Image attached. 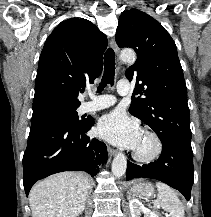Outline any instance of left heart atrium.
<instances>
[{
  "instance_id": "left-heart-atrium-1",
  "label": "left heart atrium",
  "mask_w": 211,
  "mask_h": 217,
  "mask_svg": "<svg viewBox=\"0 0 211 217\" xmlns=\"http://www.w3.org/2000/svg\"><path fill=\"white\" fill-rule=\"evenodd\" d=\"M96 131L101 138L129 149H136L142 138L138 123L119 111L103 116Z\"/></svg>"
}]
</instances>
